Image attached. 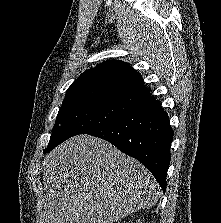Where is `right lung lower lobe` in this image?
<instances>
[{"label": "right lung lower lobe", "mask_w": 221, "mask_h": 223, "mask_svg": "<svg viewBox=\"0 0 221 223\" xmlns=\"http://www.w3.org/2000/svg\"><path fill=\"white\" fill-rule=\"evenodd\" d=\"M84 134L102 138L140 161L165 191L173 131L168 114L159 101L153 99L141 104L112 122Z\"/></svg>", "instance_id": "1"}]
</instances>
